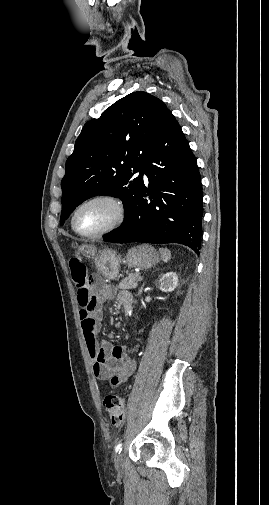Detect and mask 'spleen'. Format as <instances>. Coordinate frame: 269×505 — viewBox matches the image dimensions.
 Segmentation results:
<instances>
[{"mask_svg":"<svg viewBox=\"0 0 269 505\" xmlns=\"http://www.w3.org/2000/svg\"><path fill=\"white\" fill-rule=\"evenodd\" d=\"M161 258L164 262H168L171 258V251L167 248H160L159 249Z\"/></svg>","mask_w":269,"mask_h":505,"instance_id":"obj_1","label":"spleen"}]
</instances>
